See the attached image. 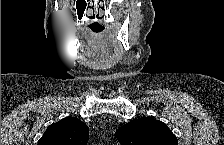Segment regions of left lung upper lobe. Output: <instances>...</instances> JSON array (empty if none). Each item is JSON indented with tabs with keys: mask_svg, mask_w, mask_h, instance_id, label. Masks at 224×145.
I'll list each match as a JSON object with an SVG mask.
<instances>
[{
	"mask_svg": "<svg viewBox=\"0 0 224 145\" xmlns=\"http://www.w3.org/2000/svg\"><path fill=\"white\" fill-rule=\"evenodd\" d=\"M115 136L122 145H178L176 136L167 125L150 117L123 125Z\"/></svg>",
	"mask_w": 224,
	"mask_h": 145,
	"instance_id": "1",
	"label": "left lung upper lobe"
}]
</instances>
